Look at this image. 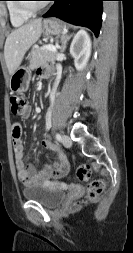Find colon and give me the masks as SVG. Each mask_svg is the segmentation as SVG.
I'll return each mask as SVG.
<instances>
[{
  "instance_id": "5ec220e1",
  "label": "colon",
  "mask_w": 133,
  "mask_h": 253,
  "mask_svg": "<svg viewBox=\"0 0 133 253\" xmlns=\"http://www.w3.org/2000/svg\"><path fill=\"white\" fill-rule=\"evenodd\" d=\"M11 112L15 116H23L27 108V99L23 94L17 93L10 97ZM59 177V175H56ZM91 177V168L89 165L82 164L77 167L75 172L76 180L80 182L88 181ZM106 187V182L102 179L91 181L87 185L86 196L89 200L98 198Z\"/></svg>"
}]
</instances>
